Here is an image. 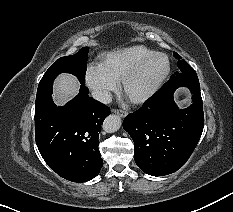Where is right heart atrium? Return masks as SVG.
<instances>
[{
	"label": "right heart atrium",
	"mask_w": 233,
	"mask_h": 212,
	"mask_svg": "<svg viewBox=\"0 0 233 212\" xmlns=\"http://www.w3.org/2000/svg\"><path fill=\"white\" fill-rule=\"evenodd\" d=\"M85 82L94 97L102 102L107 101L111 92L117 88V81L107 74L100 64H91L87 67Z\"/></svg>",
	"instance_id": "right-heart-atrium-1"
}]
</instances>
